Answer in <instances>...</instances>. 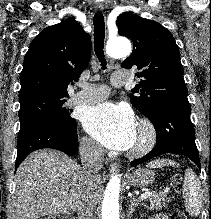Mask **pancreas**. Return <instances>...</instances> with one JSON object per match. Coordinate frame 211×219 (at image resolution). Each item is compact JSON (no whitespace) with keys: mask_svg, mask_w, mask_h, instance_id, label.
Here are the masks:
<instances>
[{"mask_svg":"<svg viewBox=\"0 0 211 219\" xmlns=\"http://www.w3.org/2000/svg\"><path fill=\"white\" fill-rule=\"evenodd\" d=\"M168 191H163L159 193H152L148 196V202L150 204V209H161L166 205V202H169V198H167Z\"/></svg>","mask_w":211,"mask_h":219,"instance_id":"pancreas-1","label":"pancreas"}]
</instances>
